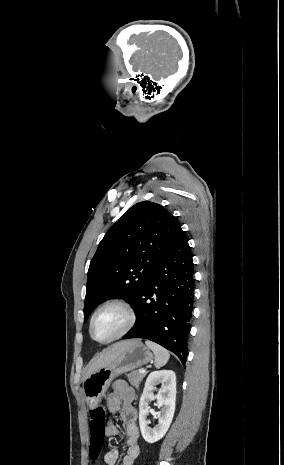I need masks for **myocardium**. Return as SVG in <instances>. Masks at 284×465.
I'll list each match as a JSON object with an SVG mask.
<instances>
[{"mask_svg": "<svg viewBox=\"0 0 284 465\" xmlns=\"http://www.w3.org/2000/svg\"><path fill=\"white\" fill-rule=\"evenodd\" d=\"M105 308H117V309H120L121 311H123L124 314L126 315V324H125V327L123 328V330L118 335H116L115 337H113L111 339H108V340L100 341V340H96V339L93 338L91 329H92V324H93L94 318L96 317V315L101 310H103ZM135 323H136V313H135L133 307L130 304H128L127 302L122 301V300L108 301V302L102 304L101 306H99L93 312V314L91 315L90 320H89V325H88V333H89L90 338L94 342H96L98 344H101V345H107V344H111V343L116 342V341L122 339L123 337H125L131 331V329L134 327Z\"/></svg>", "mask_w": 284, "mask_h": 465, "instance_id": "obj_1", "label": "myocardium"}]
</instances>
